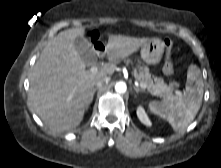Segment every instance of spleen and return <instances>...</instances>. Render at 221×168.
Instances as JSON below:
<instances>
[{"label":"spleen","mask_w":221,"mask_h":168,"mask_svg":"<svg viewBox=\"0 0 221 168\" xmlns=\"http://www.w3.org/2000/svg\"><path fill=\"white\" fill-rule=\"evenodd\" d=\"M204 82L201 71L191 64L187 71L186 88L183 96H169L162 101H150L151 113L166 119L174 131H182L189 126L198 113L203 98Z\"/></svg>","instance_id":"obj_1"}]
</instances>
